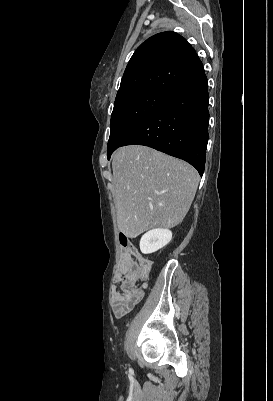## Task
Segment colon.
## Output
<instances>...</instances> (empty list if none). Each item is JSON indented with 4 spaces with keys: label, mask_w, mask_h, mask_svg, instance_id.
Returning <instances> with one entry per match:
<instances>
[{
    "label": "colon",
    "mask_w": 273,
    "mask_h": 401,
    "mask_svg": "<svg viewBox=\"0 0 273 401\" xmlns=\"http://www.w3.org/2000/svg\"><path fill=\"white\" fill-rule=\"evenodd\" d=\"M127 257L132 255L130 250L125 252ZM151 258L141 257L137 262L135 258L130 257L127 261H121L118 274L121 276L118 288H114V297H143L144 286L137 282H145L150 274Z\"/></svg>",
    "instance_id": "colon-1"
}]
</instances>
